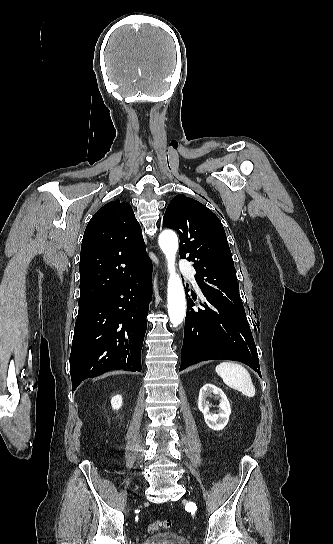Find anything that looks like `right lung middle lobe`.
Here are the masks:
<instances>
[{
    "mask_svg": "<svg viewBox=\"0 0 333 544\" xmlns=\"http://www.w3.org/2000/svg\"><path fill=\"white\" fill-rule=\"evenodd\" d=\"M101 299L97 300H87V301H79V311L91 308L92 306L96 305Z\"/></svg>",
    "mask_w": 333,
    "mask_h": 544,
    "instance_id": "1",
    "label": "right lung middle lobe"
}]
</instances>
